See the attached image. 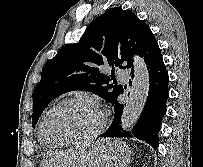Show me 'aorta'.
<instances>
[{
    "label": "aorta",
    "mask_w": 203,
    "mask_h": 167,
    "mask_svg": "<svg viewBox=\"0 0 203 167\" xmlns=\"http://www.w3.org/2000/svg\"><path fill=\"white\" fill-rule=\"evenodd\" d=\"M134 79L132 89L121 116V127L128 130L135 125L142 113L149 92V73L144 60L134 57Z\"/></svg>",
    "instance_id": "762f6f07"
}]
</instances>
